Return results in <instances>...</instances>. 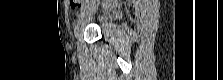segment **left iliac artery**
Instances as JSON below:
<instances>
[{"label": "left iliac artery", "instance_id": "1", "mask_svg": "<svg viewBox=\"0 0 223 80\" xmlns=\"http://www.w3.org/2000/svg\"><path fill=\"white\" fill-rule=\"evenodd\" d=\"M87 3H88V1H86V3L82 6L79 16H81L83 14V12L85 11V9L87 8Z\"/></svg>", "mask_w": 223, "mask_h": 80}]
</instances>
